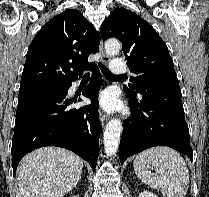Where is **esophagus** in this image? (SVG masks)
<instances>
[{
    "label": "esophagus",
    "instance_id": "esophagus-1",
    "mask_svg": "<svg viewBox=\"0 0 209 197\" xmlns=\"http://www.w3.org/2000/svg\"><path fill=\"white\" fill-rule=\"evenodd\" d=\"M99 52L101 54V61H102V63L107 64L109 62V57H108V55L104 51V47H103V42L102 41L100 42ZM99 116H100V122H101L102 125H104L108 121V119H109V117L105 113H103V112H100Z\"/></svg>",
    "mask_w": 209,
    "mask_h": 197
}]
</instances>
